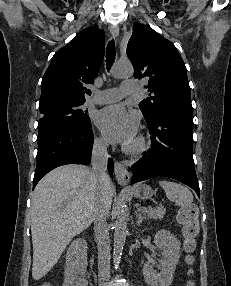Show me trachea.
Wrapping results in <instances>:
<instances>
[{
  "label": "trachea",
  "mask_w": 231,
  "mask_h": 286,
  "mask_svg": "<svg viewBox=\"0 0 231 286\" xmlns=\"http://www.w3.org/2000/svg\"><path fill=\"white\" fill-rule=\"evenodd\" d=\"M116 51H115V43L112 39L106 49V68L109 71L115 61Z\"/></svg>",
  "instance_id": "3493384b"
}]
</instances>
